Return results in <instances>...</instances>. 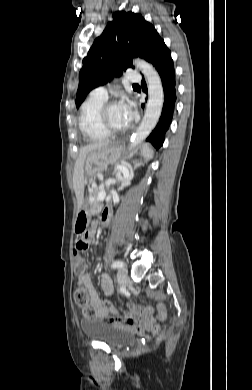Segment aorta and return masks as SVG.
Wrapping results in <instances>:
<instances>
[{
  "mask_svg": "<svg viewBox=\"0 0 252 390\" xmlns=\"http://www.w3.org/2000/svg\"><path fill=\"white\" fill-rule=\"evenodd\" d=\"M135 65L143 73L148 87V102L143 120L131 139L130 148L140 144L156 126L163 107L164 91L159 74L152 65L136 59Z\"/></svg>",
  "mask_w": 252,
  "mask_h": 390,
  "instance_id": "aorta-1",
  "label": "aorta"
}]
</instances>
